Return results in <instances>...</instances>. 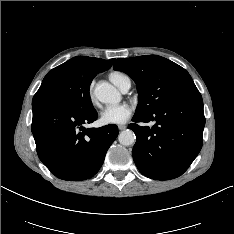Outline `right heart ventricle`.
<instances>
[{
    "instance_id": "obj_1",
    "label": "right heart ventricle",
    "mask_w": 234,
    "mask_h": 234,
    "mask_svg": "<svg viewBox=\"0 0 234 234\" xmlns=\"http://www.w3.org/2000/svg\"><path fill=\"white\" fill-rule=\"evenodd\" d=\"M110 81L116 85L120 90L131 86L130 77L121 71H113L109 74Z\"/></svg>"
}]
</instances>
